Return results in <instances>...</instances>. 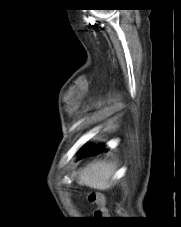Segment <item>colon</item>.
Segmentation results:
<instances>
[{
  "label": "colon",
  "mask_w": 181,
  "mask_h": 227,
  "mask_svg": "<svg viewBox=\"0 0 181 227\" xmlns=\"http://www.w3.org/2000/svg\"><path fill=\"white\" fill-rule=\"evenodd\" d=\"M88 199L89 202L96 204L98 207L94 213L96 217L105 218V216H108V210L105 206L106 203L105 196L102 193L98 192L91 193Z\"/></svg>",
  "instance_id": "colon-1"
}]
</instances>
